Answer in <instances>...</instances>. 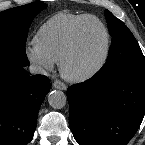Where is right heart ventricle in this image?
<instances>
[{"label": "right heart ventricle", "mask_w": 145, "mask_h": 145, "mask_svg": "<svg viewBox=\"0 0 145 145\" xmlns=\"http://www.w3.org/2000/svg\"><path fill=\"white\" fill-rule=\"evenodd\" d=\"M89 16L65 12L55 14L37 30L33 45L54 62H59L72 41L76 26Z\"/></svg>", "instance_id": "1"}]
</instances>
